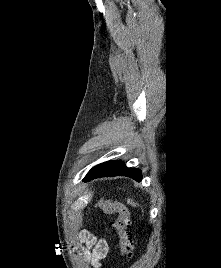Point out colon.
I'll list each match as a JSON object with an SVG mask.
<instances>
[{"mask_svg":"<svg viewBox=\"0 0 221 268\" xmlns=\"http://www.w3.org/2000/svg\"><path fill=\"white\" fill-rule=\"evenodd\" d=\"M96 208L107 214H117L113 226L120 240L121 255L125 259L131 258L134 250L133 241L128 228L131 224L129 210L121 203L101 198L96 203Z\"/></svg>","mask_w":221,"mask_h":268,"instance_id":"obj_1","label":"colon"}]
</instances>
